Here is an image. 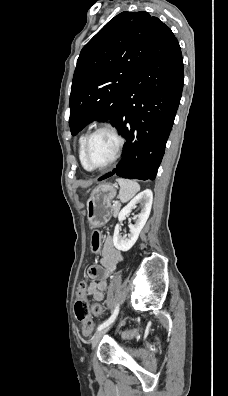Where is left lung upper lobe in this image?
<instances>
[{
	"label": "left lung upper lobe",
	"mask_w": 228,
	"mask_h": 396,
	"mask_svg": "<svg viewBox=\"0 0 228 396\" xmlns=\"http://www.w3.org/2000/svg\"><path fill=\"white\" fill-rule=\"evenodd\" d=\"M165 26L148 12H122L83 47L70 94L72 135L93 120L109 119L115 126L129 87Z\"/></svg>",
	"instance_id": "obj_1"
}]
</instances>
